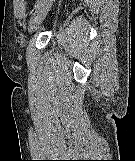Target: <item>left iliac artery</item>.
I'll return each mask as SVG.
<instances>
[{
    "instance_id": "44dca946",
    "label": "left iliac artery",
    "mask_w": 135,
    "mask_h": 161,
    "mask_svg": "<svg viewBox=\"0 0 135 161\" xmlns=\"http://www.w3.org/2000/svg\"><path fill=\"white\" fill-rule=\"evenodd\" d=\"M42 1L43 0H37L34 9H36L42 3Z\"/></svg>"
}]
</instances>
